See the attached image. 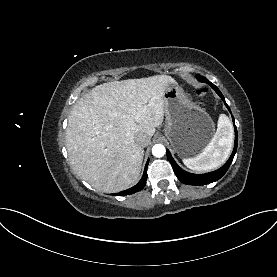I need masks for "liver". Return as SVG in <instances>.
I'll return each mask as SVG.
<instances>
[{
	"label": "liver",
	"instance_id": "6515ba94",
	"mask_svg": "<svg viewBox=\"0 0 277 277\" xmlns=\"http://www.w3.org/2000/svg\"><path fill=\"white\" fill-rule=\"evenodd\" d=\"M167 75L103 83L79 98L68 118L66 147L79 177L106 193L137 183L144 156L135 141L149 139L164 119ZM149 144V143H148Z\"/></svg>",
	"mask_w": 277,
	"mask_h": 277
}]
</instances>
